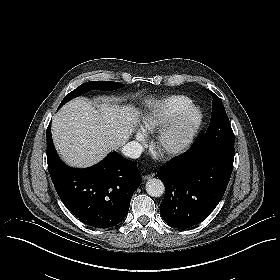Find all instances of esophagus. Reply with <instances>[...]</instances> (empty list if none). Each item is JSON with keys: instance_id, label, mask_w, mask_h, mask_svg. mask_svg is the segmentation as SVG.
Returning <instances> with one entry per match:
<instances>
[{"instance_id": "esophagus-1", "label": "esophagus", "mask_w": 280, "mask_h": 280, "mask_svg": "<svg viewBox=\"0 0 280 280\" xmlns=\"http://www.w3.org/2000/svg\"><path fill=\"white\" fill-rule=\"evenodd\" d=\"M154 176H155V174H154V173H151V174L142 176V178H143L144 180H148V179L153 178Z\"/></svg>"}]
</instances>
